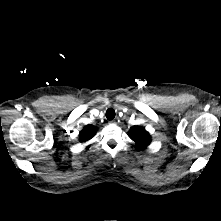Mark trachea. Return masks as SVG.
<instances>
[{
	"label": "trachea",
	"mask_w": 221,
	"mask_h": 221,
	"mask_svg": "<svg viewBox=\"0 0 221 221\" xmlns=\"http://www.w3.org/2000/svg\"><path fill=\"white\" fill-rule=\"evenodd\" d=\"M106 117H107L108 120L114 119V117H115V111H114L112 108H109V109L106 111Z\"/></svg>",
	"instance_id": "obj_1"
}]
</instances>
